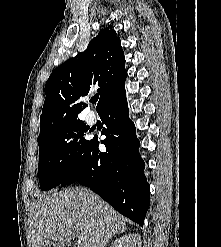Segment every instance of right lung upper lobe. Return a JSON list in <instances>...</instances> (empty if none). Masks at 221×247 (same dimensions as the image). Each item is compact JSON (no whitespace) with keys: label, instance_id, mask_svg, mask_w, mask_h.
Returning <instances> with one entry per match:
<instances>
[{"label":"right lung upper lobe","instance_id":"cb5924a9","mask_svg":"<svg viewBox=\"0 0 221 247\" xmlns=\"http://www.w3.org/2000/svg\"><path fill=\"white\" fill-rule=\"evenodd\" d=\"M124 65V52L116 31L102 29L87 50L57 67L47 80L39 137L81 121L79 114L87 106L82 98L92 91L100 96L98 113L122 96L127 77Z\"/></svg>","mask_w":221,"mask_h":247}]
</instances>
